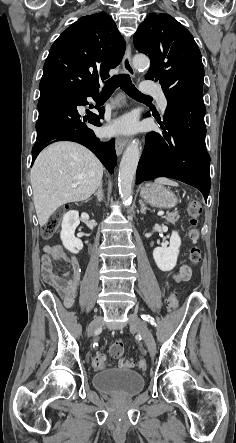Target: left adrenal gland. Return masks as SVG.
Masks as SVG:
<instances>
[{
	"label": "left adrenal gland",
	"mask_w": 236,
	"mask_h": 443,
	"mask_svg": "<svg viewBox=\"0 0 236 443\" xmlns=\"http://www.w3.org/2000/svg\"><path fill=\"white\" fill-rule=\"evenodd\" d=\"M140 204H141V213L146 214V210L148 208L145 206V204L142 201H140Z\"/></svg>",
	"instance_id": "obj_1"
}]
</instances>
